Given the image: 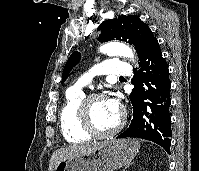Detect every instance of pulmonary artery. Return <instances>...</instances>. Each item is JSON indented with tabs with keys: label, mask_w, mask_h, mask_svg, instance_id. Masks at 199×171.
Here are the masks:
<instances>
[{
	"label": "pulmonary artery",
	"mask_w": 199,
	"mask_h": 171,
	"mask_svg": "<svg viewBox=\"0 0 199 171\" xmlns=\"http://www.w3.org/2000/svg\"><path fill=\"white\" fill-rule=\"evenodd\" d=\"M95 70L99 74H108L112 76H126L131 73V66L128 63L116 59H110L98 64L95 67ZM89 80L90 77L88 75H85L72 88L82 89L89 82Z\"/></svg>",
	"instance_id": "pulmonary-artery-1"
}]
</instances>
